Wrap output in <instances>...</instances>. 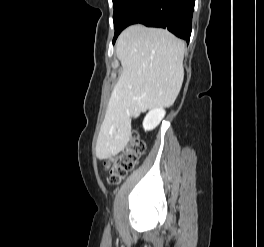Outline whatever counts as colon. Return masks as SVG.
Masks as SVG:
<instances>
[{
  "instance_id": "1",
  "label": "colon",
  "mask_w": 264,
  "mask_h": 247,
  "mask_svg": "<svg viewBox=\"0 0 264 247\" xmlns=\"http://www.w3.org/2000/svg\"><path fill=\"white\" fill-rule=\"evenodd\" d=\"M145 150V143L134 136L120 153L107 162L109 182L113 185L118 184L136 166Z\"/></svg>"
}]
</instances>
